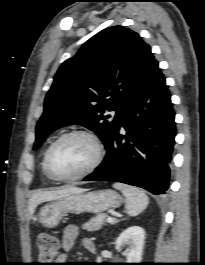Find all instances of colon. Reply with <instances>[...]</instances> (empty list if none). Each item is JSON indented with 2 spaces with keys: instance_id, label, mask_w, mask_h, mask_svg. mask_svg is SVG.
Listing matches in <instances>:
<instances>
[{
  "instance_id": "colon-1",
  "label": "colon",
  "mask_w": 205,
  "mask_h": 265,
  "mask_svg": "<svg viewBox=\"0 0 205 265\" xmlns=\"http://www.w3.org/2000/svg\"><path fill=\"white\" fill-rule=\"evenodd\" d=\"M59 253L57 238L49 233H41L37 237V254L40 264L50 265Z\"/></svg>"
}]
</instances>
